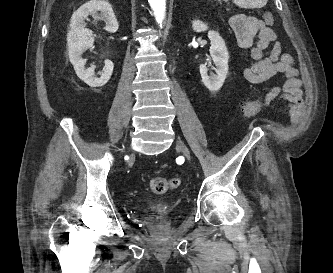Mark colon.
<instances>
[{
    "mask_svg": "<svg viewBox=\"0 0 333 273\" xmlns=\"http://www.w3.org/2000/svg\"><path fill=\"white\" fill-rule=\"evenodd\" d=\"M263 18L267 24H273L274 17L271 12H266ZM262 107L263 100L256 99L244 102L241 106V109L246 117H253L262 109ZM179 185V178L166 179L163 177H155L150 182L151 190L157 195H163L170 190L176 189Z\"/></svg>",
    "mask_w": 333,
    "mask_h": 273,
    "instance_id": "5ec220e1",
    "label": "colon"
}]
</instances>
